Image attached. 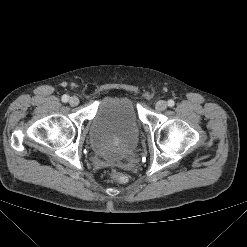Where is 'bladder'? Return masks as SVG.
I'll use <instances>...</instances> for the list:
<instances>
[{
    "mask_svg": "<svg viewBox=\"0 0 247 247\" xmlns=\"http://www.w3.org/2000/svg\"><path fill=\"white\" fill-rule=\"evenodd\" d=\"M139 130L134 101L126 95H106L99 100L91 121L89 145L96 155L120 162L135 151Z\"/></svg>",
    "mask_w": 247,
    "mask_h": 247,
    "instance_id": "31cf9c89",
    "label": "bladder"
}]
</instances>
